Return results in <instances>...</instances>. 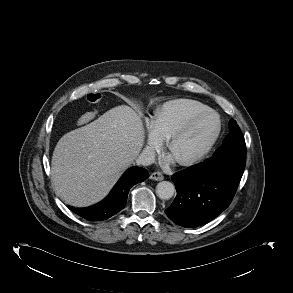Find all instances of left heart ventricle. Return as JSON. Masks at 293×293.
Instances as JSON below:
<instances>
[{"label":"left heart ventricle","instance_id":"b2bd125f","mask_svg":"<svg viewBox=\"0 0 293 293\" xmlns=\"http://www.w3.org/2000/svg\"><path fill=\"white\" fill-rule=\"evenodd\" d=\"M216 119L208 116L198 121L186 134L177 139L171 147L176 160H186L196 155L211 137Z\"/></svg>","mask_w":293,"mask_h":293}]
</instances>
